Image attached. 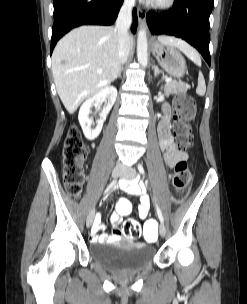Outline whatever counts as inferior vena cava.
<instances>
[{
    "mask_svg": "<svg viewBox=\"0 0 247 304\" xmlns=\"http://www.w3.org/2000/svg\"><path fill=\"white\" fill-rule=\"evenodd\" d=\"M135 0H125L116 20L115 30L118 33V55L121 63H125L130 53L129 27L132 22V8Z\"/></svg>",
    "mask_w": 247,
    "mask_h": 304,
    "instance_id": "1",
    "label": "inferior vena cava"
}]
</instances>
